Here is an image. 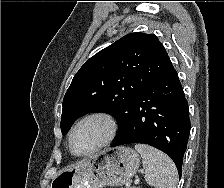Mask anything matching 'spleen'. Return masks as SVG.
Segmentation results:
<instances>
[{"instance_id": "1", "label": "spleen", "mask_w": 224, "mask_h": 188, "mask_svg": "<svg viewBox=\"0 0 224 188\" xmlns=\"http://www.w3.org/2000/svg\"><path fill=\"white\" fill-rule=\"evenodd\" d=\"M145 169L146 182L155 188H176L178 172L174 162L162 151L146 144H136Z\"/></svg>"}]
</instances>
